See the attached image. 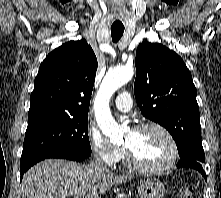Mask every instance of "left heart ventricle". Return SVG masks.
<instances>
[{"label":"left heart ventricle","mask_w":221,"mask_h":198,"mask_svg":"<svg viewBox=\"0 0 221 198\" xmlns=\"http://www.w3.org/2000/svg\"><path fill=\"white\" fill-rule=\"evenodd\" d=\"M123 145L130 149L138 163L147 167L164 164L171 154L168 139L162 132L154 128L140 132L130 131Z\"/></svg>","instance_id":"1"}]
</instances>
